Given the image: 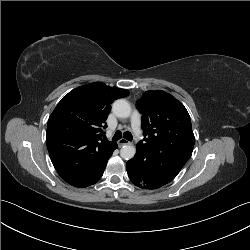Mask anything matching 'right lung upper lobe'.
<instances>
[{
  "label": "right lung upper lobe",
  "instance_id": "obj_1",
  "mask_svg": "<svg viewBox=\"0 0 250 250\" xmlns=\"http://www.w3.org/2000/svg\"><path fill=\"white\" fill-rule=\"evenodd\" d=\"M125 89L102 82L80 86L65 95L49 117L46 144L58 174L70 185L87 187L103 175L117 143L106 140L105 121Z\"/></svg>",
  "mask_w": 250,
  "mask_h": 250
}]
</instances>
